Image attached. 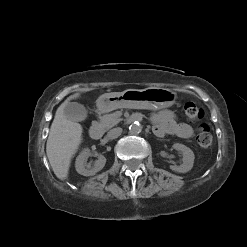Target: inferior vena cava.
I'll return each instance as SVG.
<instances>
[{
    "instance_id": "inferior-vena-cava-1",
    "label": "inferior vena cava",
    "mask_w": 247,
    "mask_h": 247,
    "mask_svg": "<svg viewBox=\"0 0 247 247\" xmlns=\"http://www.w3.org/2000/svg\"><path fill=\"white\" fill-rule=\"evenodd\" d=\"M121 133H122V128H120V127L113 128L107 133V138L108 139H115V138L119 137L121 135Z\"/></svg>"
}]
</instances>
